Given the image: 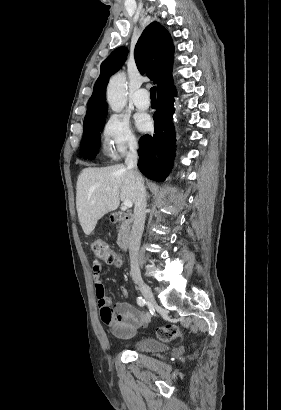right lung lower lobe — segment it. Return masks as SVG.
Masks as SVG:
<instances>
[{"mask_svg": "<svg viewBox=\"0 0 281 410\" xmlns=\"http://www.w3.org/2000/svg\"><path fill=\"white\" fill-rule=\"evenodd\" d=\"M174 85L158 91L157 109L153 116L154 135L141 137L138 168L148 178L164 181L172 169L175 154V130L172 122L174 114Z\"/></svg>", "mask_w": 281, "mask_h": 410, "instance_id": "1", "label": "right lung lower lobe"}]
</instances>
